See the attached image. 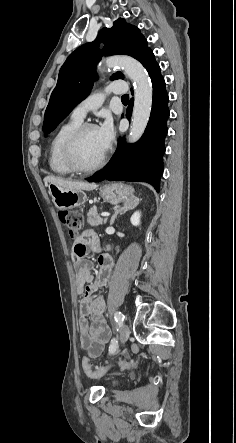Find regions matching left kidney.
<instances>
[{"mask_svg": "<svg viewBox=\"0 0 236 443\" xmlns=\"http://www.w3.org/2000/svg\"><path fill=\"white\" fill-rule=\"evenodd\" d=\"M140 218H141V213L139 211H136L132 216H131V223L134 226H138L140 224Z\"/></svg>", "mask_w": 236, "mask_h": 443, "instance_id": "1", "label": "left kidney"}]
</instances>
